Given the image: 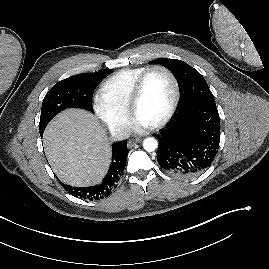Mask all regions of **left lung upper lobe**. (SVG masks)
Listing matches in <instances>:
<instances>
[{"mask_svg":"<svg viewBox=\"0 0 269 269\" xmlns=\"http://www.w3.org/2000/svg\"><path fill=\"white\" fill-rule=\"evenodd\" d=\"M151 63L165 66L176 76L181 93L179 113L193 105L216 104L204 77L187 63L168 58L156 59Z\"/></svg>","mask_w":269,"mask_h":269,"instance_id":"1","label":"left lung upper lobe"}]
</instances>
